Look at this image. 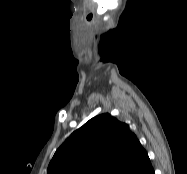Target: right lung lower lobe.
<instances>
[{
  "label": "right lung lower lobe",
  "mask_w": 187,
  "mask_h": 174,
  "mask_svg": "<svg viewBox=\"0 0 187 174\" xmlns=\"http://www.w3.org/2000/svg\"><path fill=\"white\" fill-rule=\"evenodd\" d=\"M150 174H155V173H154V170H153V172H151Z\"/></svg>",
  "instance_id": "right-lung-lower-lobe-1"
}]
</instances>
